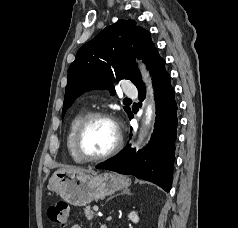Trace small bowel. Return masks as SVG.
<instances>
[{"label": "small bowel", "instance_id": "c3829d8e", "mask_svg": "<svg viewBox=\"0 0 238 228\" xmlns=\"http://www.w3.org/2000/svg\"><path fill=\"white\" fill-rule=\"evenodd\" d=\"M71 228H81V227L78 224H74V225H72Z\"/></svg>", "mask_w": 238, "mask_h": 228}]
</instances>
